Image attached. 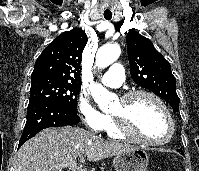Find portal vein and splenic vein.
<instances>
[{"label": "portal vein and splenic vein", "mask_w": 199, "mask_h": 171, "mask_svg": "<svg viewBox=\"0 0 199 171\" xmlns=\"http://www.w3.org/2000/svg\"><path fill=\"white\" fill-rule=\"evenodd\" d=\"M61 168L63 167H67L69 168L71 171H85L84 169H81L77 166L76 162H69L67 164H61L60 165Z\"/></svg>", "instance_id": "18ae733b"}]
</instances>
